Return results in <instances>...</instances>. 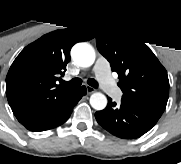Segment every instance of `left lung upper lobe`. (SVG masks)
<instances>
[{
    "label": "left lung upper lobe",
    "mask_w": 181,
    "mask_h": 164,
    "mask_svg": "<svg viewBox=\"0 0 181 164\" xmlns=\"http://www.w3.org/2000/svg\"><path fill=\"white\" fill-rule=\"evenodd\" d=\"M99 52L118 73L122 100L163 113L169 97L167 71L150 48L124 32L99 28L94 31Z\"/></svg>",
    "instance_id": "5c2ea615"
}]
</instances>
